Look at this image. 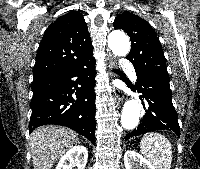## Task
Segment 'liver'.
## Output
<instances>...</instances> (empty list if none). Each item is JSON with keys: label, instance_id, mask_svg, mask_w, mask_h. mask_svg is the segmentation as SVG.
<instances>
[{"label": "liver", "instance_id": "1", "mask_svg": "<svg viewBox=\"0 0 200 169\" xmlns=\"http://www.w3.org/2000/svg\"><path fill=\"white\" fill-rule=\"evenodd\" d=\"M78 143V135L63 126L47 125L30 135V150L34 169H51L60 156Z\"/></svg>", "mask_w": 200, "mask_h": 169}]
</instances>
